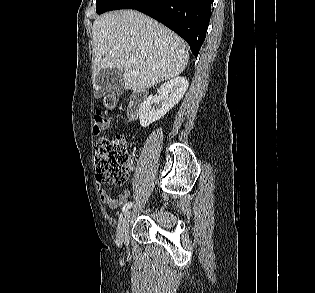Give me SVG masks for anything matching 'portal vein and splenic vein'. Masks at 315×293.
<instances>
[{"instance_id":"18ae733b","label":"portal vein and splenic vein","mask_w":315,"mask_h":293,"mask_svg":"<svg viewBox=\"0 0 315 293\" xmlns=\"http://www.w3.org/2000/svg\"><path fill=\"white\" fill-rule=\"evenodd\" d=\"M130 62H131V63H134V58H130Z\"/></svg>"}]
</instances>
